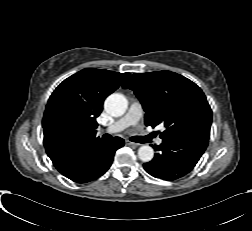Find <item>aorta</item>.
<instances>
[{
  "mask_svg": "<svg viewBox=\"0 0 252 231\" xmlns=\"http://www.w3.org/2000/svg\"><path fill=\"white\" fill-rule=\"evenodd\" d=\"M105 111L113 116H122L127 109L126 98L119 93L109 95L104 102ZM138 157L143 162H150L154 157V150L149 145H143L138 149Z\"/></svg>",
  "mask_w": 252,
  "mask_h": 231,
  "instance_id": "obj_1",
  "label": "aorta"
}]
</instances>
